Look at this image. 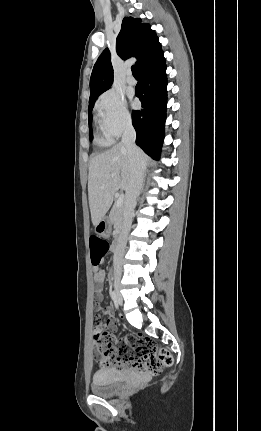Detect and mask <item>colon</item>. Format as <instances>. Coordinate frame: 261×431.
<instances>
[{"label": "colon", "mask_w": 261, "mask_h": 431, "mask_svg": "<svg viewBox=\"0 0 261 431\" xmlns=\"http://www.w3.org/2000/svg\"><path fill=\"white\" fill-rule=\"evenodd\" d=\"M110 249L109 243L97 236L90 237L91 263L99 266ZM97 321L100 318H95ZM99 363L116 368L128 367L143 375H158L173 364L167 349L158 348L149 338L137 334L118 337L112 332L101 331L94 336Z\"/></svg>", "instance_id": "colon-1"}]
</instances>
